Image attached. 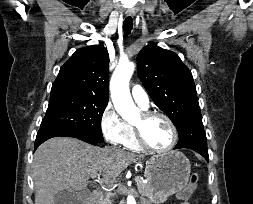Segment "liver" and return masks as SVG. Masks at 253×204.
<instances>
[{"instance_id": "1", "label": "liver", "mask_w": 253, "mask_h": 204, "mask_svg": "<svg viewBox=\"0 0 253 204\" xmlns=\"http://www.w3.org/2000/svg\"><path fill=\"white\" fill-rule=\"evenodd\" d=\"M142 156L116 148H100L75 138L55 137L38 147L32 164L35 204H55L58 191H81L89 177H118Z\"/></svg>"}]
</instances>
